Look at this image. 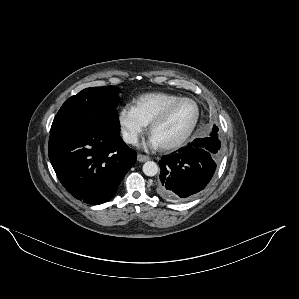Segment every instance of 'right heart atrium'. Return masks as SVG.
Returning a JSON list of instances; mask_svg holds the SVG:
<instances>
[{
  "instance_id": "right-heart-atrium-1",
  "label": "right heart atrium",
  "mask_w": 299,
  "mask_h": 299,
  "mask_svg": "<svg viewBox=\"0 0 299 299\" xmlns=\"http://www.w3.org/2000/svg\"><path fill=\"white\" fill-rule=\"evenodd\" d=\"M117 121L122 137L128 144L137 143L147 126L131 106H125L119 111Z\"/></svg>"
}]
</instances>
